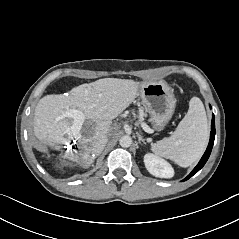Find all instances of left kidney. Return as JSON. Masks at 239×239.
Instances as JSON below:
<instances>
[{"label": "left kidney", "mask_w": 239, "mask_h": 239, "mask_svg": "<svg viewBox=\"0 0 239 239\" xmlns=\"http://www.w3.org/2000/svg\"><path fill=\"white\" fill-rule=\"evenodd\" d=\"M144 163L149 173H151L155 177L172 178L174 175L172 166L165 160L153 154H146L144 156Z\"/></svg>", "instance_id": "1"}]
</instances>
